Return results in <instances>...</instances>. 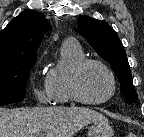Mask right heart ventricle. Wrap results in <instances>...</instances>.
<instances>
[{
    "label": "right heart ventricle",
    "mask_w": 144,
    "mask_h": 137,
    "mask_svg": "<svg viewBox=\"0 0 144 137\" xmlns=\"http://www.w3.org/2000/svg\"><path fill=\"white\" fill-rule=\"evenodd\" d=\"M83 59L84 51L76 40L68 39L62 43L58 60L48 69L45 77L54 103L67 104L73 100L69 87L70 76L75 66Z\"/></svg>",
    "instance_id": "e07e8e85"
}]
</instances>
